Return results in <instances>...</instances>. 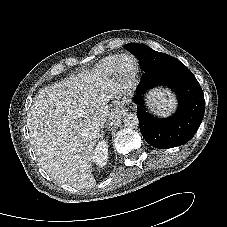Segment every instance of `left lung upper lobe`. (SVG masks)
<instances>
[{"label":"left lung upper lobe","instance_id":"left-lung-upper-lobe-1","mask_svg":"<svg viewBox=\"0 0 227 227\" xmlns=\"http://www.w3.org/2000/svg\"><path fill=\"white\" fill-rule=\"evenodd\" d=\"M140 46L138 43H130L125 45V47L132 52L133 49H136ZM133 53V52H132ZM160 53V52H159ZM181 63L176 58L169 56L165 53H160V57L156 60L152 66V70H158L163 67L172 66Z\"/></svg>","mask_w":227,"mask_h":227}]
</instances>
